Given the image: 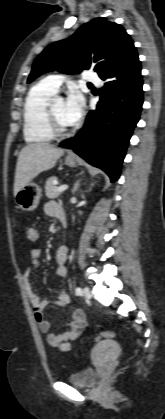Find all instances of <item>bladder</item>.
<instances>
[{
    "mask_svg": "<svg viewBox=\"0 0 165 419\" xmlns=\"http://www.w3.org/2000/svg\"><path fill=\"white\" fill-rule=\"evenodd\" d=\"M99 373L94 368H85L67 376L66 380L73 386L92 387L98 380Z\"/></svg>",
    "mask_w": 165,
    "mask_h": 419,
    "instance_id": "1",
    "label": "bladder"
}]
</instances>
